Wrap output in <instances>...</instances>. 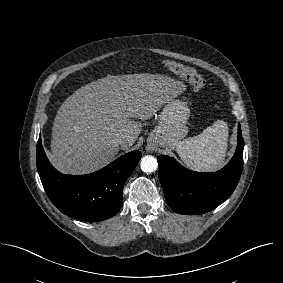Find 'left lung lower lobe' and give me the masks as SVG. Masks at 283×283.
Segmentation results:
<instances>
[{"label": "left lung lower lobe", "instance_id": "0a47b994", "mask_svg": "<svg viewBox=\"0 0 283 283\" xmlns=\"http://www.w3.org/2000/svg\"><path fill=\"white\" fill-rule=\"evenodd\" d=\"M237 149L230 162L217 172H193L173 158L157 157L159 179L167 204L179 214L207 213L233 193L243 168V138L238 125Z\"/></svg>", "mask_w": 283, "mask_h": 283}]
</instances>
